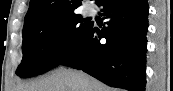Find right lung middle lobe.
<instances>
[{
  "label": "right lung middle lobe",
  "instance_id": "dd1d6c3e",
  "mask_svg": "<svg viewBox=\"0 0 173 91\" xmlns=\"http://www.w3.org/2000/svg\"><path fill=\"white\" fill-rule=\"evenodd\" d=\"M90 25L74 13L23 28V59L16 74L26 78L57 67L82 41Z\"/></svg>",
  "mask_w": 173,
  "mask_h": 91
}]
</instances>
